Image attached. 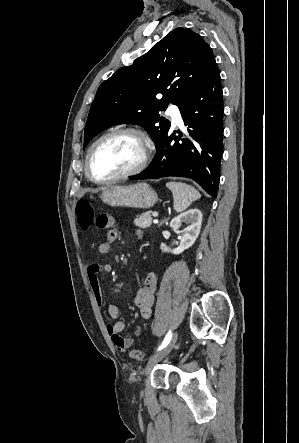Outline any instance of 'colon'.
Returning <instances> with one entry per match:
<instances>
[{
  "label": "colon",
  "mask_w": 299,
  "mask_h": 443,
  "mask_svg": "<svg viewBox=\"0 0 299 443\" xmlns=\"http://www.w3.org/2000/svg\"><path fill=\"white\" fill-rule=\"evenodd\" d=\"M76 214L78 218V224L81 229H89L92 226L97 225L95 210L88 200L81 199L77 202ZM129 355L132 359H135L137 361H143L145 359L143 351L138 349L130 350Z\"/></svg>",
  "instance_id": "obj_1"
}]
</instances>
